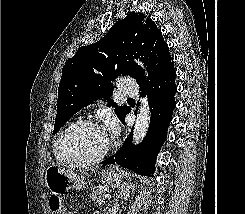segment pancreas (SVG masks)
<instances>
[{
  "instance_id": "obj_1",
  "label": "pancreas",
  "mask_w": 245,
  "mask_h": 214,
  "mask_svg": "<svg viewBox=\"0 0 245 214\" xmlns=\"http://www.w3.org/2000/svg\"><path fill=\"white\" fill-rule=\"evenodd\" d=\"M90 198L96 203H103L105 200V189L103 187H93Z\"/></svg>"
}]
</instances>
